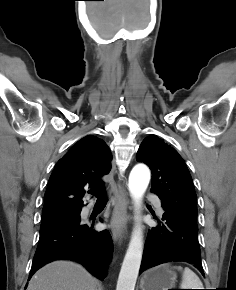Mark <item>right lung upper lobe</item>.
I'll use <instances>...</instances> for the list:
<instances>
[{
  "label": "right lung upper lobe",
  "mask_w": 236,
  "mask_h": 290,
  "mask_svg": "<svg viewBox=\"0 0 236 290\" xmlns=\"http://www.w3.org/2000/svg\"><path fill=\"white\" fill-rule=\"evenodd\" d=\"M111 170V153L95 136L79 140L56 164L45 192L42 215L81 211L85 189L102 190Z\"/></svg>",
  "instance_id": "1"
}]
</instances>
